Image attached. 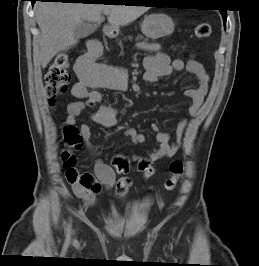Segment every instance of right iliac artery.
<instances>
[{
    "mask_svg": "<svg viewBox=\"0 0 259 266\" xmlns=\"http://www.w3.org/2000/svg\"><path fill=\"white\" fill-rule=\"evenodd\" d=\"M70 233H71V224L69 223L67 225V229H66V238L69 239L70 238Z\"/></svg>",
    "mask_w": 259,
    "mask_h": 266,
    "instance_id": "1",
    "label": "right iliac artery"
}]
</instances>
